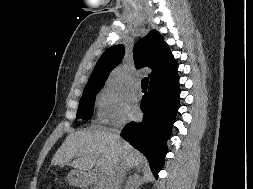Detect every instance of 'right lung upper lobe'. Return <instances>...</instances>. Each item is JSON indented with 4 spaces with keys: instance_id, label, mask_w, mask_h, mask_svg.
<instances>
[{
    "instance_id": "cb5924a9",
    "label": "right lung upper lobe",
    "mask_w": 253,
    "mask_h": 189,
    "mask_svg": "<svg viewBox=\"0 0 253 189\" xmlns=\"http://www.w3.org/2000/svg\"><path fill=\"white\" fill-rule=\"evenodd\" d=\"M123 55V45L108 48L98 60L84 91L102 88L109 72L120 63ZM133 57L136 68L152 69L149 74L150 83L168 77L178 69L168 45L156 30H152L134 45Z\"/></svg>"
}]
</instances>
